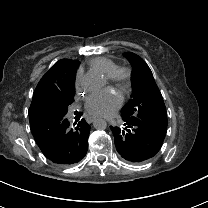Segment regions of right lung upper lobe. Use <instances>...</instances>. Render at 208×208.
I'll list each match as a JSON object with an SVG mask.
<instances>
[{"instance_id": "1", "label": "right lung upper lobe", "mask_w": 208, "mask_h": 208, "mask_svg": "<svg viewBox=\"0 0 208 208\" xmlns=\"http://www.w3.org/2000/svg\"><path fill=\"white\" fill-rule=\"evenodd\" d=\"M77 60L61 59L56 62L39 81L32 98L29 112L38 109L41 97L53 93L63 81H66L76 74Z\"/></svg>"}]
</instances>
